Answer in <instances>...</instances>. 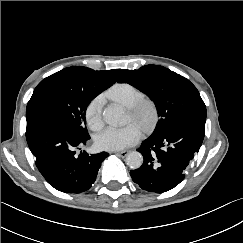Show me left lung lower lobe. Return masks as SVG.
<instances>
[{"label":"left lung lower lobe","mask_w":243,"mask_h":243,"mask_svg":"<svg viewBox=\"0 0 243 243\" xmlns=\"http://www.w3.org/2000/svg\"><path fill=\"white\" fill-rule=\"evenodd\" d=\"M206 109L187 112L175 119L158 138L142 142V166L130 175L143 190L163 193L185 178V170L199 152L204 139Z\"/></svg>","instance_id":"left-lung-lower-lobe-1"}]
</instances>
